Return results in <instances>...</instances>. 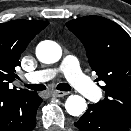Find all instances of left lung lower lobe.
<instances>
[{"mask_svg":"<svg viewBox=\"0 0 131 131\" xmlns=\"http://www.w3.org/2000/svg\"><path fill=\"white\" fill-rule=\"evenodd\" d=\"M74 124L80 131H129L131 128L96 105H88L85 114Z\"/></svg>","mask_w":131,"mask_h":131,"instance_id":"obj_1","label":"left lung lower lobe"}]
</instances>
